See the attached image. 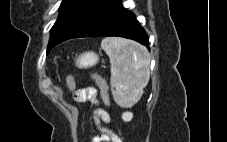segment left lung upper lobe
Listing matches in <instances>:
<instances>
[{
    "label": "left lung upper lobe",
    "mask_w": 227,
    "mask_h": 142,
    "mask_svg": "<svg viewBox=\"0 0 227 142\" xmlns=\"http://www.w3.org/2000/svg\"><path fill=\"white\" fill-rule=\"evenodd\" d=\"M111 0H63L59 17L51 28L47 52L68 40L88 24Z\"/></svg>",
    "instance_id": "left-lung-upper-lobe-1"
}]
</instances>
